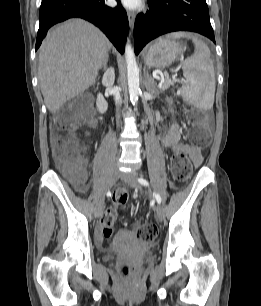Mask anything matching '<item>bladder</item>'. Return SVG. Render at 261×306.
Masks as SVG:
<instances>
[{
    "label": "bladder",
    "mask_w": 261,
    "mask_h": 306,
    "mask_svg": "<svg viewBox=\"0 0 261 306\" xmlns=\"http://www.w3.org/2000/svg\"><path fill=\"white\" fill-rule=\"evenodd\" d=\"M132 238H133V235L130 232L120 231L117 235L113 248L105 252L104 260L111 261L118 254L130 255L128 251V240ZM134 240L137 241L136 239Z\"/></svg>",
    "instance_id": "obj_1"
}]
</instances>
